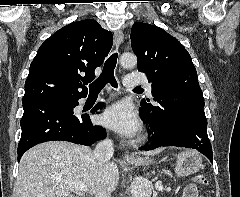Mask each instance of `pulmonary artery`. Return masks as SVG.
Masks as SVG:
<instances>
[{
  "label": "pulmonary artery",
  "mask_w": 240,
  "mask_h": 197,
  "mask_svg": "<svg viewBox=\"0 0 240 197\" xmlns=\"http://www.w3.org/2000/svg\"><path fill=\"white\" fill-rule=\"evenodd\" d=\"M143 83V80L141 79V73L137 72V73H132L129 74L124 81V86L126 88H134L135 86L139 85ZM147 89H150V86L147 85Z\"/></svg>",
  "instance_id": "pulmonary-artery-1"
}]
</instances>
